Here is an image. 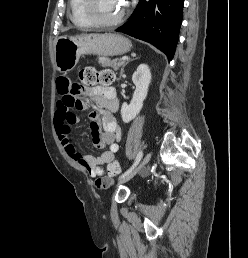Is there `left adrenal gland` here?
Returning a JSON list of instances; mask_svg holds the SVG:
<instances>
[{
    "instance_id": "a2214340",
    "label": "left adrenal gland",
    "mask_w": 248,
    "mask_h": 258,
    "mask_svg": "<svg viewBox=\"0 0 248 258\" xmlns=\"http://www.w3.org/2000/svg\"><path fill=\"white\" fill-rule=\"evenodd\" d=\"M137 59V58H136ZM127 64V63H126ZM125 64V65H126ZM125 65L121 68V72H120V74L122 75L123 74V72H124V67H125Z\"/></svg>"
}]
</instances>
